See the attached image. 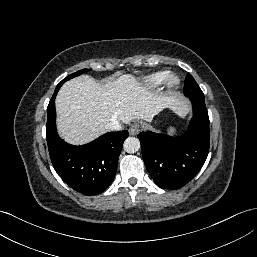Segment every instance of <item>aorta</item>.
<instances>
[{
	"instance_id": "obj_1",
	"label": "aorta",
	"mask_w": 257,
	"mask_h": 257,
	"mask_svg": "<svg viewBox=\"0 0 257 257\" xmlns=\"http://www.w3.org/2000/svg\"><path fill=\"white\" fill-rule=\"evenodd\" d=\"M124 150L127 153H135L140 149V141L135 137H128L123 144Z\"/></svg>"
}]
</instances>
